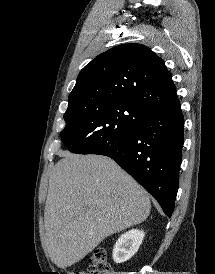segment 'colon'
Here are the masks:
<instances>
[{
    "instance_id": "obj_1",
    "label": "colon",
    "mask_w": 215,
    "mask_h": 274,
    "mask_svg": "<svg viewBox=\"0 0 215 274\" xmlns=\"http://www.w3.org/2000/svg\"><path fill=\"white\" fill-rule=\"evenodd\" d=\"M109 271L110 267L107 261L106 250L98 247L92 253L87 271L74 272L71 274H109Z\"/></svg>"
}]
</instances>
